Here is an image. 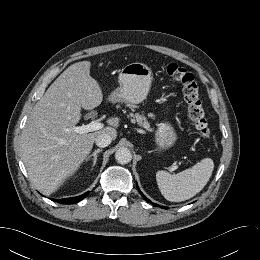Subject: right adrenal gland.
I'll return each instance as SVG.
<instances>
[{
	"label": "right adrenal gland",
	"mask_w": 260,
	"mask_h": 260,
	"mask_svg": "<svg viewBox=\"0 0 260 260\" xmlns=\"http://www.w3.org/2000/svg\"><path fill=\"white\" fill-rule=\"evenodd\" d=\"M100 152H102V149H97L92 154L87 156L86 161H88L91 157H94L93 158V165H92V167L95 166V164L97 162V154L100 153Z\"/></svg>",
	"instance_id": "obj_1"
}]
</instances>
